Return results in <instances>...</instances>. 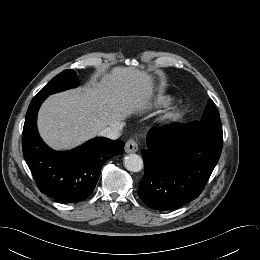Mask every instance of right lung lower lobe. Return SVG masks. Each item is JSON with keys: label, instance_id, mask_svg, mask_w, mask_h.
<instances>
[{"label": "right lung lower lobe", "instance_id": "98d812e1", "mask_svg": "<svg viewBox=\"0 0 260 260\" xmlns=\"http://www.w3.org/2000/svg\"><path fill=\"white\" fill-rule=\"evenodd\" d=\"M47 95H36L27 110L22 134L26 163L39 190L63 203H76L92 194L104 163L124 151V142L92 139L66 152L51 150L37 131V112Z\"/></svg>", "mask_w": 260, "mask_h": 260}]
</instances>
